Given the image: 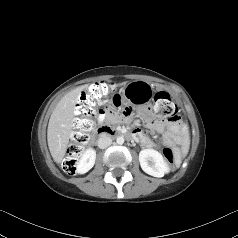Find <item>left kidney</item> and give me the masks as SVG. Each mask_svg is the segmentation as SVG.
<instances>
[{
    "instance_id": "left-kidney-1",
    "label": "left kidney",
    "mask_w": 238,
    "mask_h": 238,
    "mask_svg": "<svg viewBox=\"0 0 238 238\" xmlns=\"http://www.w3.org/2000/svg\"><path fill=\"white\" fill-rule=\"evenodd\" d=\"M139 162L142 170L154 177H163L169 172L168 164L163 156L154 149H143L139 153Z\"/></svg>"
}]
</instances>
